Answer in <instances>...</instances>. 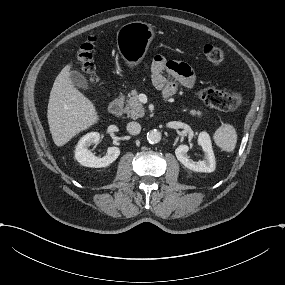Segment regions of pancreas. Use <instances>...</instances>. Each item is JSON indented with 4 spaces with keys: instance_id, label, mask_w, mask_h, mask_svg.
<instances>
[{
    "instance_id": "obj_1",
    "label": "pancreas",
    "mask_w": 285,
    "mask_h": 285,
    "mask_svg": "<svg viewBox=\"0 0 285 285\" xmlns=\"http://www.w3.org/2000/svg\"><path fill=\"white\" fill-rule=\"evenodd\" d=\"M130 95L131 97L127 100L124 112L128 115V117L134 120L143 117L145 115V109L142 103L139 101L138 92L133 89ZM190 114L194 116L197 115L199 117L202 116V112L199 110H191Z\"/></svg>"
}]
</instances>
